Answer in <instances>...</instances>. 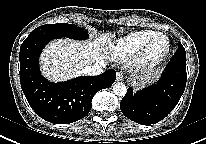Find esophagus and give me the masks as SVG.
<instances>
[{
	"label": "esophagus",
	"mask_w": 206,
	"mask_h": 144,
	"mask_svg": "<svg viewBox=\"0 0 206 144\" xmlns=\"http://www.w3.org/2000/svg\"><path fill=\"white\" fill-rule=\"evenodd\" d=\"M124 79L123 75L121 72H117L116 74V80L117 81H122Z\"/></svg>",
	"instance_id": "34e87169"
}]
</instances>
